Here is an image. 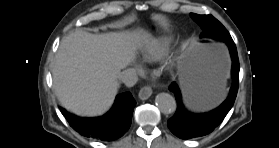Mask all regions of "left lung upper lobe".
<instances>
[{
  "instance_id": "1",
  "label": "left lung upper lobe",
  "mask_w": 279,
  "mask_h": 148,
  "mask_svg": "<svg viewBox=\"0 0 279 148\" xmlns=\"http://www.w3.org/2000/svg\"><path fill=\"white\" fill-rule=\"evenodd\" d=\"M192 19L197 22L203 32L201 33L202 38H211L214 40H225L231 38L226 28L213 16L211 15H197L191 13Z\"/></svg>"
}]
</instances>
